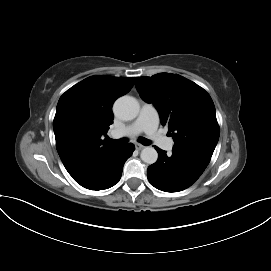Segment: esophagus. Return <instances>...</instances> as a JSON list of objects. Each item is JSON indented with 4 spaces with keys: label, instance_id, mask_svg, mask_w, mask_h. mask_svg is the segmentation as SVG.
I'll list each match as a JSON object with an SVG mask.
<instances>
[{
    "label": "esophagus",
    "instance_id": "obj_1",
    "mask_svg": "<svg viewBox=\"0 0 271 271\" xmlns=\"http://www.w3.org/2000/svg\"><path fill=\"white\" fill-rule=\"evenodd\" d=\"M135 147H136L137 150H142V149L145 148V146L142 145V144H140V143H136V144H135Z\"/></svg>",
    "mask_w": 271,
    "mask_h": 271
}]
</instances>
